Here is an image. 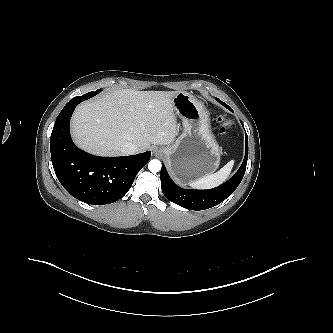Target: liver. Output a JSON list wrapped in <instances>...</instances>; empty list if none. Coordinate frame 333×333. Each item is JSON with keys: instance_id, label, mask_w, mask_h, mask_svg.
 I'll list each match as a JSON object with an SVG mask.
<instances>
[{"instance_id": "obj_1", "label": "liver", "mask_w": 333, "mask_h": 333, "mask_svg": "<svg viewBox=\"0 0 333 333\" xmlns=\"http://www.w3.org/2000/svg\"><path fill=\"white\" fill-rule=\"evenodd\" d=\"M177 91L117 90L80 104L72 117L75 143L97 155H120L125 143L140 152L150 144H171L176 137L172 99Z\"/></svg>"}]
</instances>
